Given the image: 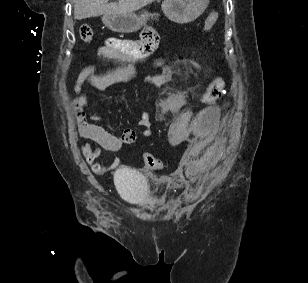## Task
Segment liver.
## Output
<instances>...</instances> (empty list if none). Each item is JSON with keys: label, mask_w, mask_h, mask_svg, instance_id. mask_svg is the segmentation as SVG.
Listing matches in <instances>:
<instances>
[{"label": "liver", "mask_w": 308, "mask_h": 283, "mask_svg": "<svg viewBox=\"0 0 308 283\" xmlns=\"http://www.w3.org/2000/svg\"><path fill=\"white\" fill-rule=\"evenodd\" d=\"M74 19H86L98 15H125L133 13L156 0H73Z\"/></svg>", "instance_id": "obj_1"}]
</instances>
